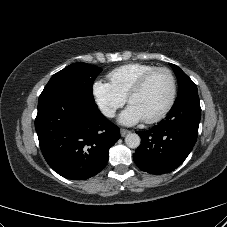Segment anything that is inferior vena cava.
<instances>
[{
  "instance_id": "obj_1",
  "label": "inferior vena cava",
  "mask_w": 227,
  "mask_h": 227,
  "mask_svg": "<svg viewBox=\"0 0 227 227\" xmlns=\"http://www.w3.org/2000/svg\"><path fill=\"white\" fill-rule=\"evenodd\" d=\"M100 110L107 117H114L115 116V109H113V108H110V107L105 106V105H101Z\"/></svg>"
}]
</instances>
